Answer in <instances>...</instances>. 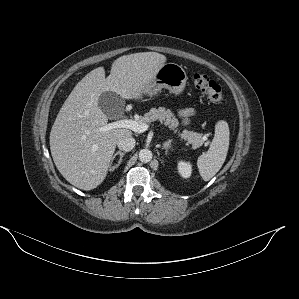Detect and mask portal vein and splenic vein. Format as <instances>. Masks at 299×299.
I'll list each match as a JSON object with an SVG mask.
<instances>
[{
	"label": "portal vein and splenic vein",
	"instance_id": "18ae733b",
	"mask_svg": "<svg viewBox=\"0 0 299 299\" xmlns=\"http://www.w3.org/2000/svg\"><path fill=\"white\" fill-rule=\"evenodd\" d=\"M116 128H127L137 133H143L148 130L149 125L132 119H122L106 124L100 128V131L105 132Z\"/></svg>",
	"mask_w": 299,
	"mask_h": 299
}]
</instances>
